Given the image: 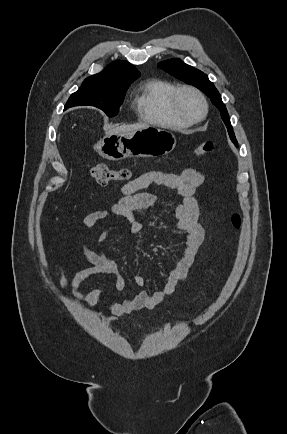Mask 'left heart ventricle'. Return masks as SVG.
Listing matches in <instances>:
<instances>
[{
	"label": "left heart ventricle",
	"mask_w": 287,
	"mask_h": 434,
	"mask_svg": "<svg viewBox=\"0 0 287 434\" xmlns=\"http://www.w3.org/2000/svg\"><path fill=\"white\" fill-rule=\"evenodd\" d=\"M182 113L188 118H197L202 113V104L198 97L191 92H185L179 100Z\"/></svg>",
	"instance_id": "obj_1"
}]
</instances>
